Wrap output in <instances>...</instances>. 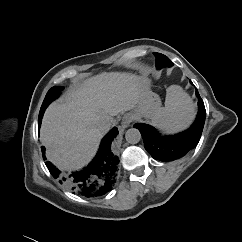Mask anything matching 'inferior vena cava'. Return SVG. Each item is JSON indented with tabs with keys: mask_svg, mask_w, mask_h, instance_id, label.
I'll use <instances>...</instances> for the list:
<instances>
[{
	"mask_svg": "<svg viewBox=\"0 0 242 242\" xmlns=\"http://www.w3.org/2000/svg\"><path fill=\"white\" fill-rule=\"evenodd\" d=\"M110 121L111 118L108 115H104L98 119L96 126L100 131H106L110 128Z\"/></svg>",
	"mask_w": 242,
	"mask_h": 242,
	"instance_id": "inferior-vena-cava-1",
	"label": "inferior vena cava"
}]
</instances>
